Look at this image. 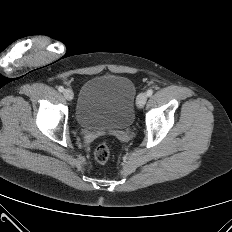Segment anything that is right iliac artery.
Listing matches in <instances>:
<instances>
[{
  "instance_id": "82829eb1",
  "label": "right iliac artery",
  "mask_w": 232,
  "mask_h": 232,
  "mask_svg": "<svg viewBox=\"0 0 232 232\" xmlns=\"http://www.w3.org/2000/svg\"><path fill=\"white\" fill-rule=\"evenodd\" d=\"M58 91H59V92H63V91H64V87L59 86V87H58Z\"/></svg>"
}]
</instances>
